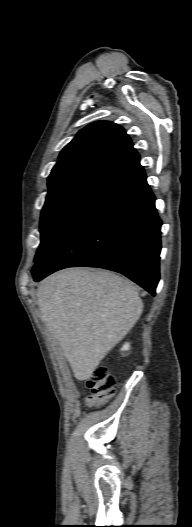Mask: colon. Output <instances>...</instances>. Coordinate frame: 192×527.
<instances>
[{"label":"colon","instance_id":"5ec220e1","mask_svg":"<svg viewBox=\"0 0 192 527\" xmlns=\"http://www.w3.org/2000/svg\"><path fill=\"white\" fill-rule=\"evenodd\" d=\"M116 380L104 366L96 367L87 380L91 394L86 398L88 407H98L112 398Z\"/></svg>","mask_w":192,"mask_h":527}]
</instances>
